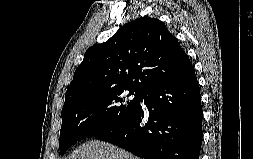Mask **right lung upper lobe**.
Masks as SVG:
<instances>
[{"instance_id": "1", "label": "right lung upper lobe", "mask_w": 253, "mask_h": 159, "mask_svg": "<svg viewBox=\"0 0 253 159\" xmlns=\"http://www.w3.org/2000/svg\"><path fill=\"white\" fill-rule=\"evenodd\" d=\"M192 70L187 54L162 21L139 18L123 25L107 42L85 52L64 104L108 91L143 94Z\"/></svg>"}]
</instances>
